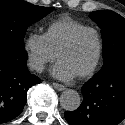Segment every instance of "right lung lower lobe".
I'll use <instances>...</instances> for the list:
<instances>
[{"label": "right lung lower lobe", "mask_w": 125, "mask_h": 125, "mask_svg": "<svg viewBox=\"0 0 125 125\" xmlns=\"http://www.w3.org/2000/svg\"><path fill=\"white\" fill-rule=\"evenodd\" d=\"M24 48L0 40V123L16 118L24 109L27 91L41 80L26 65Z\"/></svg>", "instance_id": "obj_1"}]
</instances>
